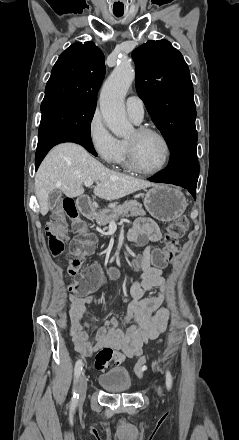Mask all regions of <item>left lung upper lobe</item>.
I'll use <instances>...</instances> for the list:
<instances>
[{
    "mask_svg": "<svg viewBox=\"0 0 239 440\" xmlns=\"http://www.w3.org/2000/svg\"><path fill=\"white\" fill-rule=\"evenodd\" d=\"M132 57L138 95L169 147L197 135L193 85L182 54L167 40H150Z\"/></svg>",
    "mask_w": 239,
    "mask_h": 440,
    "instance_id": "left-lung-upper-lobe-1",
    "label": "left lung upper lobe"
}]
</instances>
